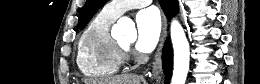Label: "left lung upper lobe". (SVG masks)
I'll list each match as a JSON object with an SVG mask.
<instances>
[{
  "label": "left lung upper lobe",
  "mask_w": 260,
  "mask_h": 84,
  "mask_svg": "<svg viewBox=\"0 0 260 84\" xmlns=\"http://www.w3.org/2000/svg\"><path fill=\"white\" fill-rule=\"evenodd\" d=\"M107 1L108 0H87L80 12L78 27L80 29L84 28L97 10Z\"/></svg>",
  "instance_id": "left-lung-upper-lobe-1"
}]
</instances>
